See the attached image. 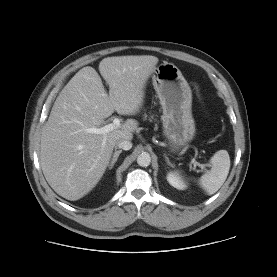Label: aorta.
Here are the masks:
<instances>
[{
	"label": "aorta",
	"mask_w": 277,
	"mask_h": 277,
	"mask_svg": "<svg viewBox=\"0 0 277 277\" xmlns=\"http://www.w3.org/2000/svg\"><path fill=\"white\" fill-rule=\"evenodd\" d=\"M151 157L150 154L147 152H143L137 157V163L141 167H147L150 165Z\"/></svg>",
	"instance_id": "aorta-1"
}]
</instances>
